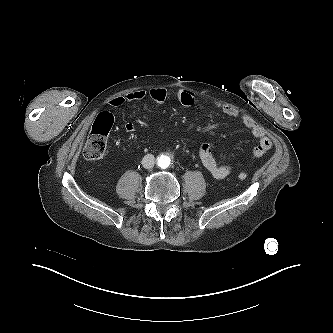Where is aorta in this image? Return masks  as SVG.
<instances>
[{"mask_svg":"<svg viewBox=\"0 0 333 333\" xmlns=\"http://www.w3.org/2000/svg\"><path fill=\"white\" fill-rule=\"evenodd\" d=\"M158 164L161 168H167L170 165V158L168 156L161 155L158 158Z\"/></svg>","mask_w":333,"mask_h":333,"instance_id":"aorta-1","label":"aorta"}]
</instances>
